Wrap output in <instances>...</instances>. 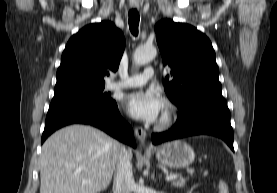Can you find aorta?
I'll use <instances>...</instances> for the list:
<instances>
[{
	"label": "aorta",
	"instance_id": "762f6f07",
	"mask_svg": "<svg viewBox=\"0 0 277 193\" xmlns=\"http://www.w3.org/2000/svg\"><path fill=\"white\" fill-rule=\"evenodd\" d=\"M157 55V50L152 46L139 47L133 54V63L136 65H145L152 61Z\"/></svg>",
	"mask_w": 277,
	"mask_h": 193
}]
</instances>
